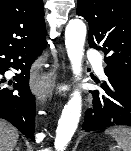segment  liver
Wrapping results in <instances>:
<instances>
[{
  "instance_id": "obj_1",
  "label": "liver",
  "mask_w": 131,
  "mask_h": 151,
  "mask_svg": "<svg viewBox=\"0 0 131 151\" xmlns=\"http://www.w3.org/2000/svg\"><path fill=\"white\" fill-rule=\"evenodd\" d=\"M18 137V131L11 124L0 120V151H13Z\"/></svg>"
}]
</instances>
